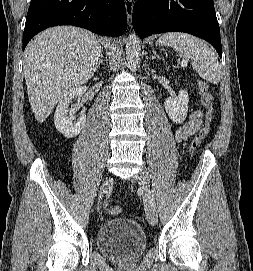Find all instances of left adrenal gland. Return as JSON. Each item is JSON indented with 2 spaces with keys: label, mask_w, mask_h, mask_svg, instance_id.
<instances>
[{
  "label": "left adrenal gland",
  "mask_w": 253,
  "mask_h": 271,
  "mask_svg": "<svg viewBox=\"0 0 253 271\" xmlns=\"http://www.w3.org/2000/svg\"><path fill=\"white\" fill-rule=\"evenodd\" d=\"M152 53H153V55H152L151 59H156V58L161 59L160 56L157 55L156 51L153 50Z\"/></svg>",
  "instance_id": "obj_1"
}]
</instances>
